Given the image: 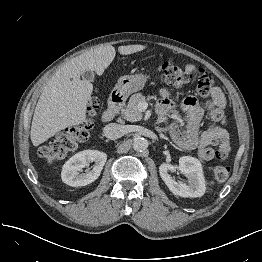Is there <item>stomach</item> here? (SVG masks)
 <instances>
[{"label":"stomach","instance_id":"1","mask_svg":"<svg viewBox=\"0 0 262 262\" xmlns=\"http://www.w3.org/2000/svg\"><path fill=\"white\" fill-rule=\"evenodd\" d=\"M148 77L144 74L124 75L118 79L115 90L121 96L127 97L130 94L144 88Z\"/></svg>","mask_w":262,"mask_h":262}]
</instances>
